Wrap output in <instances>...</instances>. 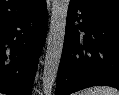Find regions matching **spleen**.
I'll use <instances>...</instances> for the list:
<instances>
[{"label":"spleen","mask_w":119,"mask_h":95,"mask_svg":"<svg viewBox=\"0 0 119 95\" xmlns=\"http://www.w3.org/2000/svg\"><path fill=\"white\" fill-rule=\"evenodd\" d=\"M78 95H119V91L108 86H96L83 90Z\"/></svg>","instance_id":"1"}]
</instances>
